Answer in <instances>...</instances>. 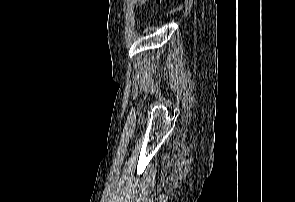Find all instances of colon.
Segmentation results:
<instances>
[{
    "mask_svg": "<svg viewBox=\"0 0 295 202\" xmlns=\"http://www.w3.org/2000/svg\"><path fill=\"white\" fill-rule=\"evenodd\" d=\"M164 1H165V0H156V3H157L158 5H161V4H163Z\"/></svg>",
    "mask_w": 295,
    "mask_h": 202,
    "instance_id": "5ec220e1",
    "label": "colon"
}]
</instances>
